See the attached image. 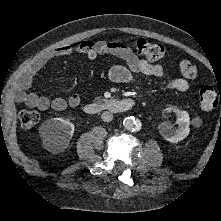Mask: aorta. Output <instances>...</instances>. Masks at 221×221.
<instances>
[{"label":"aorta","mask_w":221,"mask_h":221,"mask_svg":"<svg viewBox=\"0 0 221 221\" xmlns=\"http://www.w3.org/2000/svg\"><path fill=\"white\" fill-rule=\"evenodd\" d=\"M123 125H124L125 129H127L129 131H139L142 126L140 120L136 119L133 116L126 117L123 120Z\"/></svg>","instance_id":"aorta-1"}]
</instances>
